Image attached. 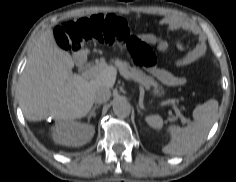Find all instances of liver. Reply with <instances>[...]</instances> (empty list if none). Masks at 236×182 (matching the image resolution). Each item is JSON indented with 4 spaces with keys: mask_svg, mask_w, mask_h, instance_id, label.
Here are the masks:
<instances>
[{
    "mask_svg": "<svg viewBox=\"0 0 236 182\" xmlns=\"http://www.w3.org/2000/svg\"><path fill=\"white\" fill-rule=\"evenodd\" d=\"M71 55L56 43L53 30L36 42L19 82V103L25 118L41 121L53 117L72 121L85 117L94 104L98 87L112 88L117 71L108 66L90 80L73 73Z\"/></svg>",
    "mask_w": 236,
    "mask_h": 182,
    "instance_id": "liver-1",
    "label": "liver"
}]
</instances>
